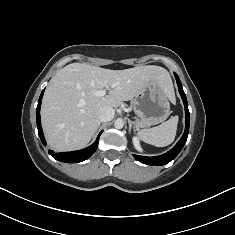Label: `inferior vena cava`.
<instances>
[{"label":"inferior vena cava","instance_id":"obj_1","mask_svg":"<svg viewBox=\"0 0 235 235\" xmlns=\"http://www.w3.org/2000/svg\"><path fill=\"white\" fill-rule=\"evenodd\" d=\"M115 111L112 107L105 106L99 110L98 118L101 122L111 121L114 118Z\"/></svg>","mask_w":235,"mask_h":235}]
</instances>
